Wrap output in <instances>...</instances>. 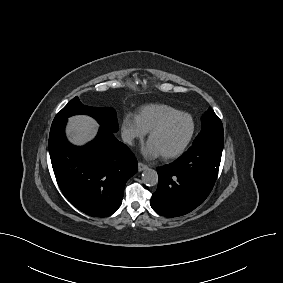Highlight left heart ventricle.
I'll return each instance as SVG.
<instances>
[{"label":"left heart ventricle","instance_id":"obj_1","mask_svg":"<svg viewBox=\"0 0 283 283\" xmlns=\"http://www.w3.org/2000/svg\"><path fill=\"white\" fill-rule=\"evenodd\" d=\"M191 129V122L186 116L171 119L161 130L156 132L150 141L161 154L176 150L187 138Z\"/></svg>","mask_w":283,"mask_h":283}]
</instances>
